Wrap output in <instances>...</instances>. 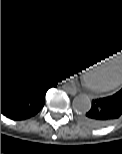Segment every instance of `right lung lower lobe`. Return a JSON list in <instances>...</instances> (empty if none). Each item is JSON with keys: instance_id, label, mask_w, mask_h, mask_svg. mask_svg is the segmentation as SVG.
Listing matches in <instances>:
<instances>
[{"instance_id": "right-lung-lower-lobe-1", "label": "right lung lower lobe", "mask_w": 122, "mask_h": 154, "mask_svg": "<svg viewBox=\"0 0 122 154\" xmlns=\"http://www.w3.org/2000/svg\"><path fill=\"white\" fill-rule=\"evenodd\" d=\"M53 53L41 52L40 62L15 76H1V113L12 120L36 115L45 103L46 91L55 85L46 78Z\"/></svg>"}]
</instances>
